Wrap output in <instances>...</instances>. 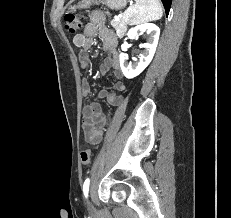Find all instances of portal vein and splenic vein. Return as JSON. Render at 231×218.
<instances>
[{
    "label": "portal vein and splenic vein",
    "instance_id": "portal-vein-and-splenic-vein-1",
    "mask_svg": "<svg viewBox=\"0 0 231 218\" xmlns=\"http://www.w3.org/2000/svg\"><path fill=\"white\" fill-rule=\"evenodd\" d=\"M120 15L119 16H115L114 18H115V20H119L120 19Z\"/></svg>",
    "mask_w": 231,
    "mask_h": 218
}]
</instances>
